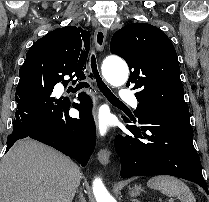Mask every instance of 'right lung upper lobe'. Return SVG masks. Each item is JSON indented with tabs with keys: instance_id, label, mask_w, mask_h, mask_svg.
Listing matches in <instances>:
<instances>
[{
	"instance_id": "1",
	"label": "right lung upper lobe",
	"mask_w": 209,
	"mask_h": 202,
	"mask_svg": "<svg viewBox=\"0 0 209 202\" xmlns=\"http://www.w3.org/2000/svg\"><path fill=\"white\" fill-rule=\"evenodd\" d=\"M89 48V31L76 26L57 28L31 46L19 76L46 77L62 83L66 74L84 79Z\"/></svg>"
}]
</instances>
